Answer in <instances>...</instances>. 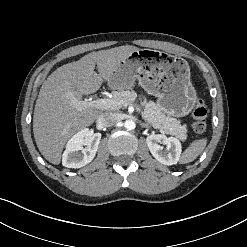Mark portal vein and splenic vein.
Here are the masks:
<instances>
[{"label": "portal vein and splenic vein", "mask_w": 247, "mask_h": 247, "mask_svg": "<svg viewBox=\"0 0 247 247\" xmlns=\"http://www.w3.org/2000/svg\"><path fill=\"white\" fill-rule=\"evenodd\" d=\"M72 103L82 109V108H95V109H101V110H117L121 108L122 106H128L131 105L130 102H118L114 99L109 98H101L93 101L88 100H77L76 98H71Z\"/></svg>", "instance_id": "1"}]
</instances>
